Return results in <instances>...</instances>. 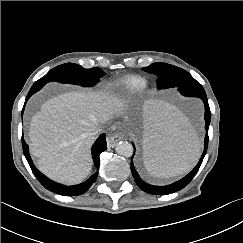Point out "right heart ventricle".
Wrapping results in <instances>:
<instances>
[{"label":"right heart ventricle","instance_id":"right-heart-ventricle-1","mask_svg":"<svg viewBox=\"0 0 243 243\" xmlns=\"http://www.w3.org/2000/svg\"><path fill=\"white\" fill-rule=\"evenodd\" d=\"M147 82L144 78L131 75L124 77L117 82L119 86L127 95H135L140 93L146 86Z\"/></svg>","mask_w":243,"mask_h":243}]
</instances>
